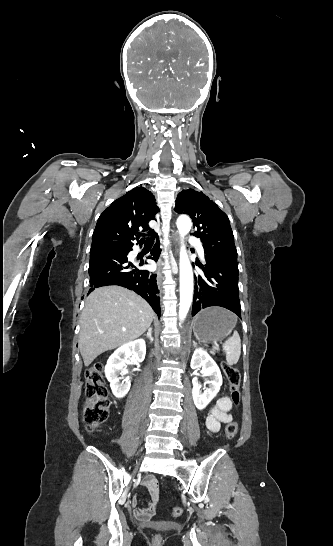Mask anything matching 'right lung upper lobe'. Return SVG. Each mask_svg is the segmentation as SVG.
Segmentation results:
<instances>
[{
    "instance_id": "cb5924a9",
    "label": "right lung upper lobe",
    "mask_w": 333,
    "mask_h": 546,
    "mask_svg": "<svg viewBox=\"0 0 333 546\" xmlns=\"http://www.w3.org/2000/svg\"><path fill=\"white\" fill-rule=\"evenodd\" d=\"M158 210L155 198L149 190L144 187L130 190L115 200L98 218L91 249L117 244L133 245L132 241L139 239L140 230L148 231L154 236L155 232L148 223L155 220Z\"/></svg>"
}]
</instances>
